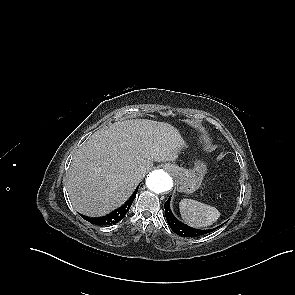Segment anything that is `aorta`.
<instances>
[{"label":"aorta","mask_w":295,"mask_h":295,"mask_svg":"<svg viewBox=\"0 0 295 295\" xmlns=\"http://www.w3.org/2000/svg\"><path fill=\"white\" fill-rule=\"evenodd\" d=\"M146 186L154 193H163L172 188V178L162 169L154 170L147 177Z\"/></svg>","instance_id":"762f6f07"}]
</instances>
